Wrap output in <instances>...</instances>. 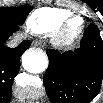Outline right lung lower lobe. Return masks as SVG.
I'll return each mask as SVG.
<instances>
[{
    "instance_id": "98d812e1",
    "label": "right lung lower lobe",
    "mask_w": 103,
    "mask_h": 103,
    "mask_svg": "<svg viewBox=\"0 0 103 103\" xmlns=\"http://www.w3.org/2000/svg\"><path fill=\"white\" fill-rule=\"evenodd\" d=\"M19 29L18 25H0V101L8 102L11 98L13 80L19 72L20 57L29 48L30 41H23L16 48L4 45L8 37Z\"/></svg>"
}]
</instances>
